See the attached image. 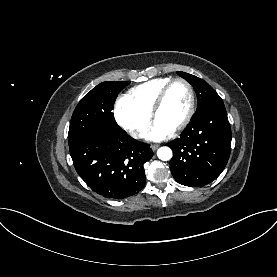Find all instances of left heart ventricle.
I'll return each instance as SVG.
<instances>
[{"instance_id":"left-heart-ventricle-1","label":"left heart ventricle","mask_w":277,"mask_h":277,"mask_svg":"<svg viewBox=\"0 0 277 277\" xmlns=\"http://www.w3.org/2000/svg\"><path fill=\"white\" fill-rule=\"evenodd\" d=\"M189 104L190 96L187 87L182 83H176L169 90L165 102L156 116V120L174 129L185 118Z\"/></svg>"}]
</instances>
